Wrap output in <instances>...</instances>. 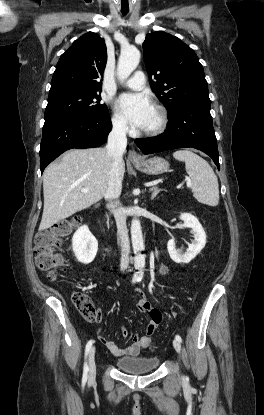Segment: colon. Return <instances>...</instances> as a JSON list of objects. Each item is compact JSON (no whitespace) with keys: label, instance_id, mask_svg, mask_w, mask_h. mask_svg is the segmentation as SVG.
<instances>
[{"label":"colon","instance_id":"colon-1","mask_svg":"<svg viewBox=\"0 0 264 415\" xmlns=\"http://www.w3.org/2000/svg\"><path fill=\"white\" fill-rule=\"evenodd\" d=\"M79 222L80 218L75 216L72 220L58 223L52 229L37 233L35 238L36 263L49 279H55L62 270L63 261L58 250L62 242L72 233L74 226ZM72 301L84 318L89 321L100 320V312L89 294L80 291L75 292L72 295ZM140 339L148 352L152 353L156 350V345L149 336H142Z\"/></svg>","mask_w":264,"mask_h":415}]
</instances>
